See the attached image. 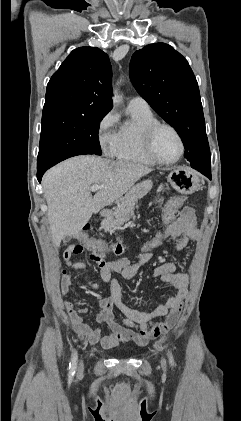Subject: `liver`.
I'll return each instance as SVG.
<instances>
[{
  "label": "liver",
  "instance_id": "obj_1",
  "mask_svg": "<svg viewBox=\"0 0 241 421\" xmlns=\"http://www.w3.org/2000/svg\"><path fill=\"white\" fill-rule=\"evenodd\" d=\"M153 169L142 164L114 161L91 155L67 159L43 176L48 221L55 246L78 234L92 214L121 198ZM99 185L94 197L90 187Z\"/></svg>",
  "mask_w": 241,
  "mask_h": 421
}]
</instances>
